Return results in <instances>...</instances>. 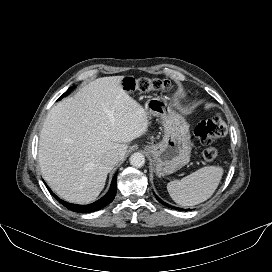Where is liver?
Segmentation results:
<instances>
[{
	"label": "liver",
	"mask_w": 272,
	"mask_h": 272,
	"mask_svg": "<svg viewBox=\"0 0 272 272\" xmlns=\"http://www.w3.org/2000/svg\"><path fill=\"white\" fill-rule=\"evenodd\" d=\"M124 76L98 78L49 111L39 140L43 178L61 198L94 201L113 166L102 162L108 151L125 157L128 142L148 131L145 109L121 86Z\"/></svg>",
	"instance_id": "liver-1"
}]
</instances>
